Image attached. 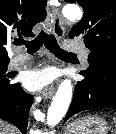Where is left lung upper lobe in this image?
I'll return each instance as SVG.
<instances>
[{"label": "left lung upper lobe", "mask_w": 116, "mask_h": 134, "mask_svg": "<svg viewBox=\"0 0 116 134\" xmlns=\"http://www.w3.org/2000/svg\"><path fill=\"white\" fill-rule=\"evenodd\" d=\"M77 2L84 11L83 19L73 26L70 38H82L91 52L89 67L93 70L100 63L116 64V0H66Z\"/></svg>", "instance_id": "5c2ea615"}]
</instances>
